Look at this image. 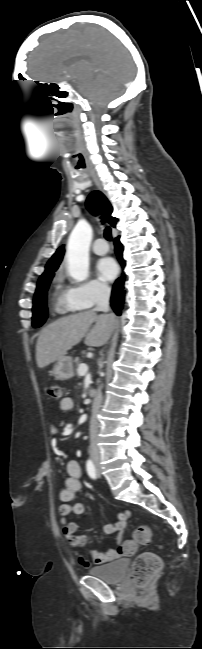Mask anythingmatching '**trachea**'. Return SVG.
Returning <instances> with one entry per match:
<instances>
[{"instance_id":"trachea-1","label":"trachea","mask_w":202,"mask_h":649,"mask_svg":"<svg viewBox=\"0 0 202 649\" xmlns=\"http://www.w3.org/2000/svg\"><path fill=\"white\" fill-rule=\"evenodd\" d=\"M104 237L106 240L111 241L112 240V235H111V229L110 227L106 226L104 229Z\"/></svg>"}]
</instances>
